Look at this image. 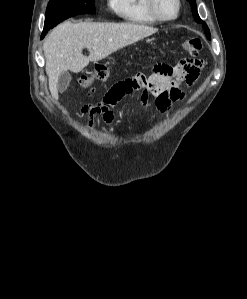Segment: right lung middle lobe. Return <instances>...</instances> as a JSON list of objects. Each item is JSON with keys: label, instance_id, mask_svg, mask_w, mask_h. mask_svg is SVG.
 Here are the masks:
<instances>
[{"label": "right lung middle lobe", "instance_id": "obj_1", "mask_svg": "<svg viewBox=\"0 0 247 299\" xmlns=\"http://www.w3.org/2000/svg\"><path fill=\"white\" fill-rule=\"evenodd\" d=\"M94 0H50L41 37L58 23L79 14H94Z\"/></svg>", "mask_w": 247, "mask_h": 299}]
</instances>
